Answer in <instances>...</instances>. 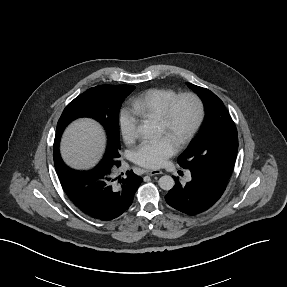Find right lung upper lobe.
Instances as JSON below:
<instances>
[{"instance_id": "right-lung-upper-lobe-1", "label": "right lung upper lobe", "mask_w": 287, "mask_h": 287, "mask_svg": "<svg viewBox=\"0 0 287 287\" xmlns=\"http://www.w3.org/2000/svg\"><path fill=\"white\" fill-rule=\"evenodd\" d=\"M62 132L63 131H61V129H57L55 140H54L53 157H54V163H57V164H59V161H60L59 142H60Z\"/></svg>"}]
</instances>
